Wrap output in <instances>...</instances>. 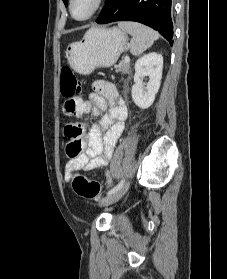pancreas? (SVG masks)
<instances>
[{"label":"pancreas","instance_id":"1","mask_svg":"<svg viewBox=\"0 0 227 279\" xmlns=\"http://www.w3.org/2000/svg\"><path fill=\"white\" fill-rule=\"evenodd\" d=\"M116 71L121 72L122 74H131L130 64L126 63L125 61L120 62L118 65L115 66Z\"/></svg>","mask_w":227,"mask_h":279}]
</instances>
